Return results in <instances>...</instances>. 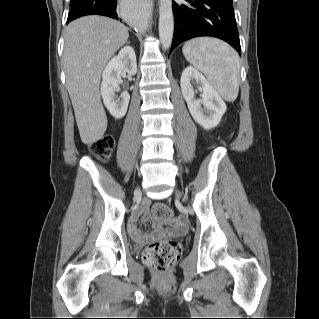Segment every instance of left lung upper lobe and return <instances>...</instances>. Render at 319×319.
Segmentation results:
<instances>
[{"label":"left lung upper lobe","instance_id":"1","mask_svg":"<svg viewBox=\"0 0 319 319\" xmlns=\"http://www.w3.org/2000/svg\"><path fill=\"white\" fill-rule=\"evenodd\" d=\"M222 1H225V2H228V3L232 4V0H222Z\"/></svg>","mask_w":319,"mask_h":319}]
</instances>
